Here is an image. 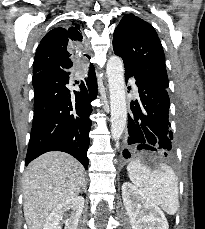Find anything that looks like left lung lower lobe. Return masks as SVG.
I'll return each instance as SVG.
<instances>
[{"mask_svg":"<svg viewBox=\"0 0 205 229\" xmlns=\"http://www.w3.org/2000/svg\"><path fill=\"white\" fill-rule=\"evenodd\" d=\"M134 77L139 89V99L131 104L128 114V148L125 158L135 150H151L164 157L173 155V134L168 119L170 101L168 90L157 82L125 69V79Z\"/></svg>","mask_w":205,"mask_h":229,"instance_id":"0a47b994","label":"left lung lower lobe"}]
</instances>
